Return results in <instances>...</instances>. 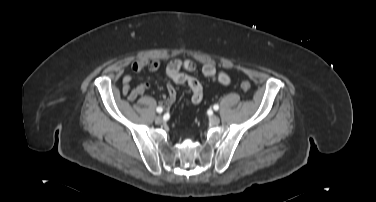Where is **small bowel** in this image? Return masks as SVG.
Wrapping results in <instances>:
<instances>
[{
    "mask_svg": "<svg viewBox=\"0 0 376 202\" xmlns=\"http://www.w3.org/2000/svg\"><path fill=\"white\" fill-rule=\"evenodd\" d=\"M160 68V61L156 59H140L132 62L131 70L133 72H140L143 69H148L152 72L157 71ZM196 66L193 62L185 60H171L167 63L165 67V72L170 78L171 82L166 85V97L163 101V105L166 107L171 106L176 99V85L186 84L192 93L191 101L193 104H199L203 99V88L200 82L189 75L186 72L195 71ZM203 74L213 81H219L223 85H228L230 83V78L225 72H218L216 67L212 64H206L203 66ZM132 77L130 74H125L122 77V95H124L129 101H135L140 95H143L149 88L148 83H141L138 86L132 88L131 83Z\"/></svg>",
    "mask_w": 376,
    "mask_h": 202,
    "instance_id": "small-bowel-1",
    "label": "small bowel"
}]
</instances>
